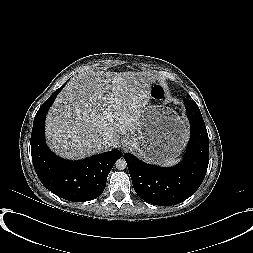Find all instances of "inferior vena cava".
Listing matches in <instances>:
<instances>
[{
  "label": "inferior vena cava",
  "instance_id": "obj_1",
  "mask_svg": "<svg viewBox=\"0 0 253 253\" xmlns=\"http://www.w3.org/2000/svg\"><path fill=\"white\" fill-rule=\"evenodd\" d=\"M112 143V140L110 137H103L102 145L105 147H109Z\"/></svg>",
  "mask_w": 253,
  "mask_h": 253
}]
</instances>
